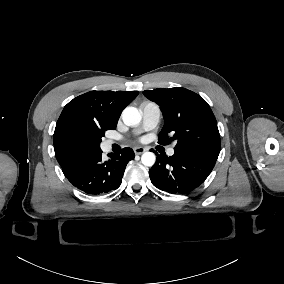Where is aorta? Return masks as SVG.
Masks as SVG:
<instances>
[{
	"mask_svg": "<svg viewBox=\"0 0 284 284\" xmlns=\"http://www.w3.org/2000/svg\"><path fill=\"white\" fill-rule=\"evenodd\" d=\"M122 120L127 126H136L141 121V115L139 111L134 107H127L122 112ZM156 156L152 152H145L141 156V162L143 165L151 167L155 164Z\"/></svg>",
	"mask_w": 284,
	"mask_h": 284,
	"instance_id": "1",
	"label": "aorta"
}]
</instances>
